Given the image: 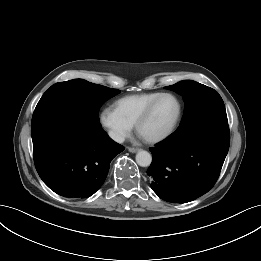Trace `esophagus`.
Wrapping results in <instances>:
<instances>
[{"label":"esophagus","instance_id":"esophagus-1","mask_svg":"<svg viewBox=\"0 0 261 261\" xmlns=\"http://www.w3.org/2000/svg\"><path fill=\"white\" fill-rule=\"evenodd\" d=\"M128 151L131 153H136L139 151V148H135V147H128Z\"/></svg>","mask_w":261,"mask_h":261}]
</instances>
